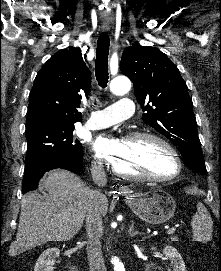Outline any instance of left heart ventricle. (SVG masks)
Here are the masks:
<instances>
[{"mask_svg":"<svg viewBox=\"0 0 221 271\" xmlns=\"http://www.w3.org/2000/svg\"><path fill=\"white\" fill-rule=\"evenodd\" d=\"M152 137L134 141L136 156H120L115 160L114 168L118 175H149V177H176V166H169L167 147H160Z\"/></svg>","mask_w":221,"mask_h":271,"instance_id":"1","label":"left heart ventricle"}]
</instances>
